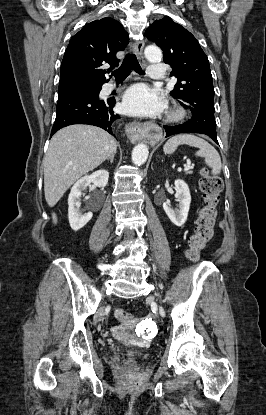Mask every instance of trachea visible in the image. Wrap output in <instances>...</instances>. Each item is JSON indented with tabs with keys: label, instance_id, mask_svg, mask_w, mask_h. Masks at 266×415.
Here are the masks:
<instances>
[{
	"label": "trachea",
	"instance_id": "3493384b",
	"mask_svg": "<svg viewBox=\"0 0 266 415\" xmlns=\"http://www.w3.org/2000/svg\"><path fill=\"white\" fill-rule=\"evenodd\" d=\"M131 70H134L135 72H137L138 74L143 75L144 72L141 69V66L137 60V57L135 54L130 53L124 60L122 65L120 66L119 69L115 70L114 72H112V75L115 77V79L117 81H121L124 80L129 73L131 72Z\"/></svg>",
	"mask_w": 266,
	"mask_h": 415
}]
</instances>
